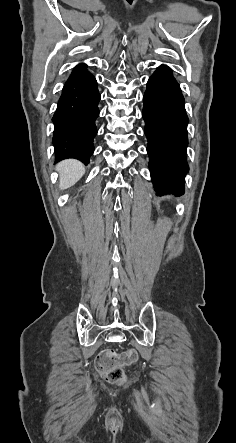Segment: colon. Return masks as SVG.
Listing matches in <instances>:
<instances>
[{
    "label": "colon",
    "instance_id": "colon-1",
    "mask_svg": "<svg viewBox=\"0 0 236 443\" xmlns=\"http://www.w3.org/2000/svg\"><path fill=\"white\" fill-rule=\"evenodd\" d=\"M137 359V352L133 349L121 354L113 351H105L97 357L96 368L107 381L111 383H122L126 380L123 368L135 363Z\"/></svg>",
    "mask_w": 236,
    "mask_h": 443
}]
</instances>
